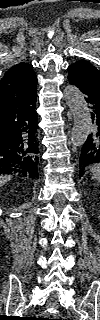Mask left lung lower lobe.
I'll use <instances>...</instances> for the list:
<instances>
[{
	"mask_svg": "<svg viewBox=\"0 0 100 320\" xmlns=\"http://www.w3.org/2000/svg\"><path fill=\"white\" fill-rule=\"evenodd\" d=\"M68 80L70 84L76 86L84 94L92 109L93 126L90 128V133L82 147L79 158L80 176H82L86 166L100 163V93L75 75L68 74Z\"/></svg>",
	"mask_w": 100,
	"mask_h": 320,
	"instance_id": "obj_1",
	"label": "left lung lower lobe"
}]
</instances>
